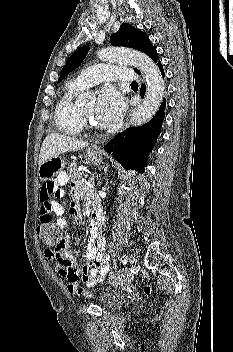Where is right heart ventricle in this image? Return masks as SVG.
<instances>
[{
    "mask_svg": "<svg viewBox=\"0 0 233 352\" xmlns=\"http://www.w3.org/2000/svg\"><path fill=\"white\" fill-rule=\"evenodd\" d=\"M82 89L73 81L68 82L64 94L56 106V125L61 132L67 135H78L83 130L80 107L75 102L76 95Z\"/></svg>",
    "mask_w": 233,
    "mask_h": 352,
    "instance_id": "obj_1",
    "label": "right heart ventricle"
}]
</instances>
